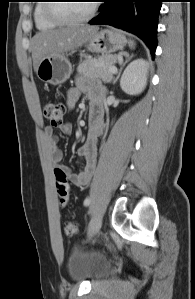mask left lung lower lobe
<instances>
[{"label": "left lung lower lobe", "mask_w": 195, "mask_h": 299, "mask_svg": "<svg viewBox=\"0 0 195 299\" xmlns=\"http://www.w3.org/2000/svg\"><path fill=\"white\" fill-rule=\"evenodd\" d=\"M101 13L89 21L131 32L140 37L155 54L158 15L162 0H103Z\"/></svg>", "instance_id": "0a47b994"}]
</instances>
